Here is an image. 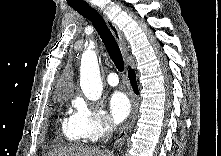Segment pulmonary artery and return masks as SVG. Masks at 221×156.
I'll list each match as a JSON object with an SVG mask.
<instances>
[{
  "mask_svg": "<svg viewBox=\"0 0 221 156\" xmlns=\"http://www.w3.org/2000/svg\"><path fill=\"white\" fill-rule=\"evenodd\" d=\"M118 82H119V79H118V76H117L116 73L111 72V73L108 74V76H107V83L110 86H116V85H118Z\"/></svg>",
  "mask_w": 221,
  "mask_h": 156,
  "instance_id": "1",
  "label": "pulmonary artery"
}]
</instances>
